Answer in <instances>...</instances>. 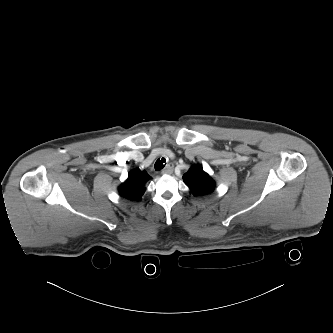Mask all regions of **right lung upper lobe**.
I'll return each instance as SVG.
<instances>
[{
  "label": "right lung upper lobe",
  "instance_id": "right-lung-upper-lobe-1",
  "mask_svg": "<svg viewBox=\"0 0 333 333\" xmlns=\"http://www.w3.org/2000/svg\"><path fill=\"white\" fill-rule=\"evenodd\" d=\"M151 179L148 173L140 169L132 170L127 180L118 187L120 196L131 200L140 201L146 190L145 183Z\"/></svg>",
  "mask_w": 333,
  "mask_h": 333
}]
</instances>
